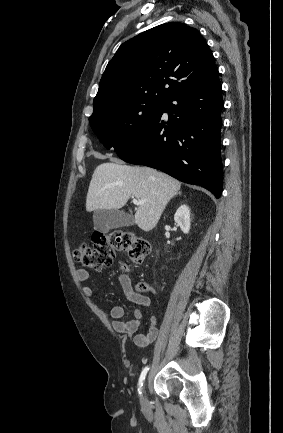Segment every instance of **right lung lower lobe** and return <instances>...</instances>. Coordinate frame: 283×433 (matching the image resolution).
<instances>
[{
    "label": "right lung lower lobe",
    "mask_w": 283,
    "mask_h": 433,
    "mask_svg": "<svg viewBox=\"0 0 283 433\" xmlns=\"http://www.w3.org/2000/svg\"><path fill=\"white\" fill-rule=\"evenodd\" d=\"M219 76L166 100L138 138L118 156L159 169L219 198L223 186L220 129L223 109ZM168 113V119L163 116Z\"/></svg>",
    "instance_id": "1"
}]
</instances>
